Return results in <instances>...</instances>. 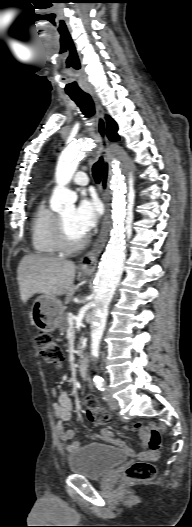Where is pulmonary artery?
I'll return each instance as SVG.
<instances>
[{"instance_id":"1","label":"pulmonary artery","mask_w":192,"mask_h":527,"mask_svg":"<svg viewBox=\"0 0 192 527\" xmlns=\"http://www.w3.org/2000/svg\"><path fill=\"white\" fill-rule=\"evenodd\" d=\"M72 183L78 186H86L89 183V178L85 172H77L73 178Z\"/></svg>"}]
</instances>
